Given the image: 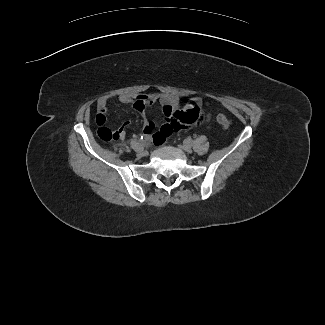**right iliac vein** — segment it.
Here are the masks:
<instances>
[{"mask_svg":"<svg viewBox=\"0 0 325 325\" xmlns=\"http://www.w3.org/2000/svg\"><path fill=\"white\" fill-rule=\"evenodd\" d=\"M135 151L137 153V156H139V157H143V156L146 155V152L144 151L142 146H139V148L137 150H135Z\"/></svg>","mask_w":325,"mask_h":325,"instance_id":"1","label":"right iliac vein"}]
</instances>
